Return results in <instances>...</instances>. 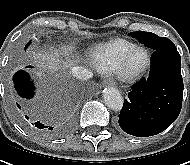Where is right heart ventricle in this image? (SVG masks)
I'll return each mask as SVG.
<instances>
[{
	"label": "right heart ventricle",
	"mask_w": 190,
	"mask_h": 165,
	"mask_svg": "<svg viewBox=\"0 0 190 165\" xmlns=\"http://www.w3.org/2000/svg\"><path fill=\"white\" fill-rule=\"evenodd\" d=\"M137 45L126 39L117 38L96 46L90 52L92 65L100 72L116 71L122 58Z\"/></svg>",
	"instance_id": "obj_1"
}]
</instances>
